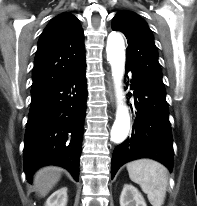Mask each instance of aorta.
Listing matches in <instances>:
<instances>
[{
    "label": "aorta",
    "mask_w": 197,
    "mask_h": 206,
    "mask_svg": "<svg viewBox=\"0 0 197 206\" xmlns=\"http://www.w3.org/2000/svg\"><path fill=\"white\" fill-rule=\"evenodd\" d=\"M107 60L112 69L114 79L117 111L116 119L111 129V141L122 143L128 136L130 130V116L127 106L124 104V93L122 89L123 71L125 66V44L119 33L112 32L107 39Z\"/></svg>",
    "instance_id": "762f6f07"
}]
</instances>
